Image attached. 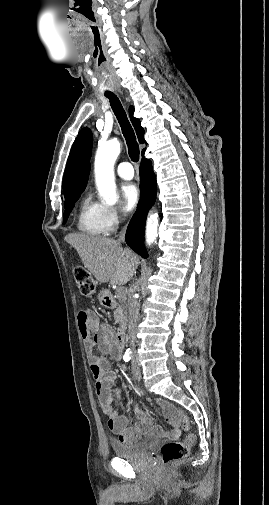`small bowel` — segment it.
I'll use <instances>...</instances> for the list:
<instances>
[{"instance_id":"obj_1","label":"small bowel","mask_w":269,"mask_h":505,"mask_svg":"<svg viewBox=\"0 0 269 505\" xmlns=\"http://www.w3.org/2000/svg\"><path fill=\"white\" fill-rule=\"evenodd\" d=\"M78 321L90 362V371L95 380L96 394L102 410L107 416L109 430L118 435V439L124 443H134L147 434L168 437L178 436L180 433V422L176 419V414L179 410L165 400H158V404L164 409L165 416L171 424L169 430H165L160 426H154L153 420L138 405H135L137 422L134 426H129L128 418L125 415L113 410L109 394L116 375L110 369L106 356L108 355L114 360H119L122 354V347L117 343L112 328L107 324L101 323L97 314L93 311H81L78 315ZM94 327H97L95 331H93ZM96 349L102 355H97L95 353Z\"/></svg>"}]
</instances>
